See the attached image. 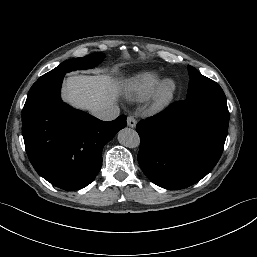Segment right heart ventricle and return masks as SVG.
Segmentation results:
<instances>
[{"mask_svg":"<svg viewBox=\"0 0 257 257\" xmlns=\"http://www.w3.org/2000/svg\"><path fill=\"white\" fill-rule=\"evenodd\" d=\"M161 81V76L156 72L140 73L129 81L127 95L135 101L145 100L156 91Z\"/></svg>","mask_w":257,"mask_h":257,"instance_id":"e07e8e85","label":"right heart ventricle"}]
</instances>
